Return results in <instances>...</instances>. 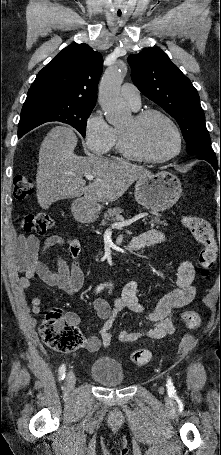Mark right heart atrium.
I'll use <instances>...</instances> for the list:
<instances>
[{
	"instance_id": "1",
	"label": "right heart atrium",
	"mask_w": 221,
	"mask_h": 455,
	"mask_svg": "<svg viewBox=\"0 0 221 455\" xmlns=\"http://www.w3.org/2000/svg\"><path fill=\"white\" fill-rule=\"evenodd\" d=\"M84 140L87 150L96 155H105L112 148L114 129L100 111H93L86 119Z\"/></svg>"
}]
</instances>
